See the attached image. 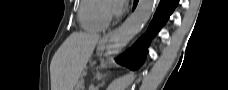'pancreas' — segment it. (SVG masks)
Segmentation results:
<instances>
[{"mask_svg":"<svg viewBox=\"0 0 228 90\" xmlns=\"http://www.w3.org/2000/svg\"><path fill=\"white\" fill-rule=\"evenodd\" d=\"M75 90H84V86H83L82 81L77 83Z\"/></svg>","mask_w":228,"mask_h":90,"instance_id":"1","label":"pancreas"}]
</instances>
